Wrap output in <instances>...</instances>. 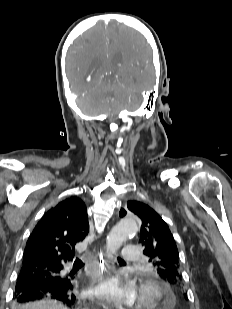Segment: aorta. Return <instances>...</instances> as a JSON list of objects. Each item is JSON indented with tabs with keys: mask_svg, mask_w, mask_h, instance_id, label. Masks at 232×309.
I'll return each instance as SVG.
<instances>
[{
	"mask_svg": "<svg viewBox=\"0 0 232 309\" xmlns=\"http://www.w3.org/2000/svg\"><path fill=\"white\" fill-rule=\"evenodd\" d=\"M138 231V222L136 218L129 217L120 220L107 236V255L112 257L121 245Z\"/></svg>",
	"mask_w": 232,
	"mask_h": 309,
	"instance_id": "762f6f07",
	"label": "aorta"
}]
</instances>
